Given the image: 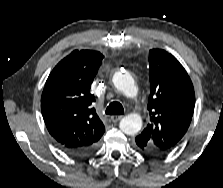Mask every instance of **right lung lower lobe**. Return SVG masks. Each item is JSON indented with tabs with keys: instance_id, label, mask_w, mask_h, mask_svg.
Instances as JSON below:
<instances>
[{
	"instance_id": "1",
	"label": "right lung lower lobe",
	"mask_w": 223,
	"mask_h": 188,
	"mask_svg": "<svg viewBox=\"0 0 223 188\" xmlns=\"http://www.w3.org/2000/svg\"><path fill=\"white\" fill-rule=\"evenodd\" d=\"M97 147V144H94L90 147H86V148H65L62 147L61 148L69 155L73 156V157H78V158H82V157H86L89 154H91Z\"/></svg>"
}]
</instances>
